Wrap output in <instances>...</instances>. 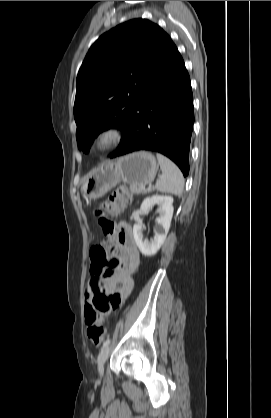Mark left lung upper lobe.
I'll use <instances>...</instances> for the list:
<instances>
[{
    "label": "left lung upper lobe",
    "mask_w": 271,
    "mask_h": 418,
    "mask_svg": "<svg viewBox=\"0 0 271 418\" xmlns=\"http://www.w3.org/2000/svg\"><path fill=\"white\" fill-rule=\"evenodd\" d=\"M172 43L158 25L138 18L104 33L91 46L76 81L74 118L80 150L87 153L103 130L125 128Z\"/></svg>",
    "instance_id": "left-lung-upper-lobe-1"
}]
</instances>
